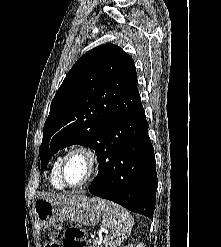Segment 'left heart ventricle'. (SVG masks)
Returning a JSON list of instances; mask_svg holds the SVG:
<instances>
[{
  "instance_id": "1",
  "label": "left heart ventricle",
  "mask_w": 221,
  "mask_h": 247,
  "mask_svg": "<svg viewBox=\"0 0 221 247\" xmlns=\"http://www.w3.org/2000/svg\"><path fill=\"white\" fill-rule=\"evenodd\" d=\"M88 173V162L83 155H73L65 166V177L70 184L81 182Z\"/></svg>"
}]
</instances>
